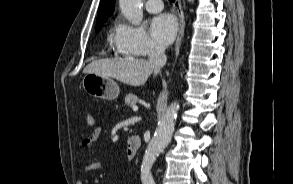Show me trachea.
<instances>
[{"instance_id": "3493384b", "label": "trachea", "mask_w": 293, "mask_h": 184, "mask_svg": "<svg viewBox=\"0 0 293 184\" xmlns=\"http://www.w3.org/2000/svg\"><path fill=\"white\" fill-rule=\"evenodd\" d=\"M170 2H175V0H169Z\"/></svg>"}]
</instances>
